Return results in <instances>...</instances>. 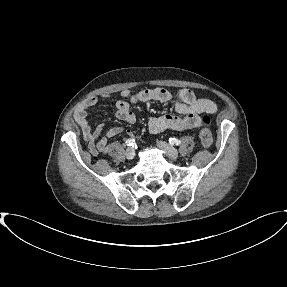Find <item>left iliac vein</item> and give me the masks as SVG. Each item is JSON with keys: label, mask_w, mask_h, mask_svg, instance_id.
<instances>
[{"label": "left iliac vein", "mask_w": 287, "mask_h": 287, "mask_svg": "<svg viewBox=\"0 0 287 287\" xmlns=\"http://www.w3.org/2000/svg\"><path fill=\"white\" fill-rule=\"evenodd\" d=\"M158 147L161 150H163L167 154V156L172 160H176L179 156L178 151L174 147H172L170 144L164 141L158 142Z\"/></svg>", "instance_id": "obj_1"}]
</instances>
